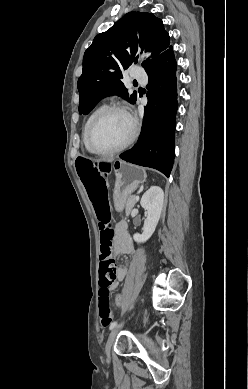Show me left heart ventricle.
Wrapping results in <instances>:
<instances>
[{
    "label": "left heart ventricle",
    "mask_w": 248,
    "mask_h": 389,
    "mask_svg": "<svg viewBox=\"0 0 248 389\" xmlns=\"http://www.w3.org/2000/svg\"><path fill=\"white\" fill-rule=\"evenodd\" d=\"M131 131L132 125L127 116L118 111L109 112L95 125L91 145L100 151L114 149L128 139Z\"/></svg>",
    "instance_id": "obj_1"
}]
</instances>
